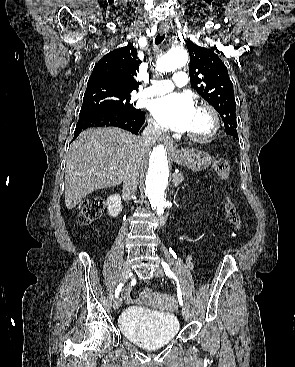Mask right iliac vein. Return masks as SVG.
I'll use <instances>...</instances> for the list:
<instances>
[{
    "mask_svg": "<svg viewBox=\"0 0 295 367\" xmlns=\"http://www.w3.org/2000/svg\"><path fill=\"white\" fill-rule=\"evenodd\" d=\"M129 270H130V265L128 262H125L123 266V270H122V276H121L122 281H125L127 279L129 275ZM121 303H122L121 298H117L113 304L114 309L118 310L121 307Z\"/></svg>",
    "mask_w": 295,
    "mask_h": 367,
    "instance_id": "right-iliac-vein-1",
    "label": "right iliac vein"
}]
</instances>
